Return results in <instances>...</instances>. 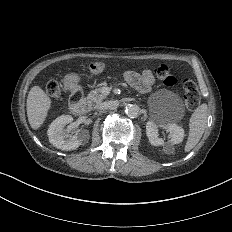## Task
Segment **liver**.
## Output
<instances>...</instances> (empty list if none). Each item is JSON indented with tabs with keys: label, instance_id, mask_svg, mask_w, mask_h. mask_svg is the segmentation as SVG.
I'll use <instances>...</instances> for the list:
<instances>
[{
	"label": "liver",
	"instance_id": "1",
	"mask_svg": "<svg viewBox=\"0 0 232 232\" xmlns=\"http://www.w3.org/2000/svg\"><path fill=\"white\" fill-rule=\"evenodd\" d=\"M50 106L51 100L47 94L39 86L32 87L27 97V116L34 130L43 124Z\"/></svg>",
	"mask_w": 232,
	"mask_h": 232
}]
</instances>
